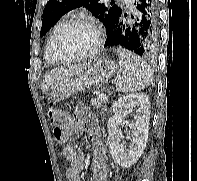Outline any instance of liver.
Wrapping results in <instances>:
<instances>
[{
  "instance_id": "6515ba94",
  "label": "liver",
  "mask_w": 197,
  "mask_h": 181,
  "mask_svg": "<svg viewBox=\"0 0 197 181\" xmlns=\"http://www.w3.org/2000/svg\"><path fill=\"white\" fill-rule=\"evenodd\" d=\"M87 63H82L78 65L59 67L51 70L46 76L42 84V92H45L50 86H53L57 81H60L66 77H69L76 72L85 68Z\"/></svg>"
}]
</instances>
